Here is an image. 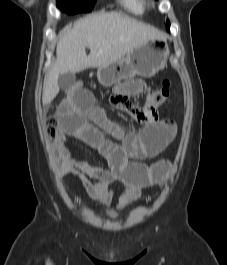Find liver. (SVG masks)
<instances>
[{
	"mask_svg": "<svg viewBox=\"0 0 227 265\" xmlns=\"http://www.w3.org/2000/svg\"><path fill=\"white\" fill-rule=\"evenodd\" d=\"M165 40L166 35L145 23L118 12H103L66 26L56 49V60L44 80V105L59 93L58 77L91 67L118 62L134 47L150 40ZM86 47L90 49L87 56Z\"/></svg>",
	"mask_w": 227,
	"mask_h": 265,
	"instance_id": "6515ba94",
	"label": "liver"
}]
</instances>
